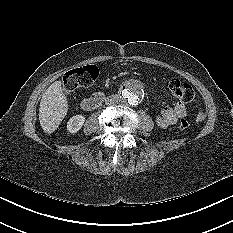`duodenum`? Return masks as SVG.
I'll use <instances>...</instances> for the list:
<instances>
[{"label":"duodenum","instance_id":"1","mask_svg":"<svg viewBox=\"0 0 233 233\" xmlns=\"http://www.w3.org/2000/svg\"><path fill=\"white\" fill-rule=\"evenodd\" d=\"M105 99V94L102 92H97L92 94L91 96L85 98L81 106L84 110H93L99 107Z\"/></svg>","mask_w":233,"mask_h":233}]
</instances>
